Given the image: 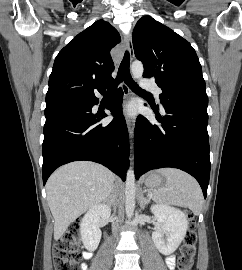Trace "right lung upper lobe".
<instances>
[{"mask_svg": "<svg viewBox=\"0 0 242 270\" xmlns=\"http://www.w3.org/2000/svg\"><path fill=\"white\" fill-rule=\"evenodd\" d=\"M120 41L117 30L104 20L79 33L55 58L46 107L103 93L113 80L110 50Z\"/></svg>", "mask_w": 242, "mask_h": 270, "instance_id": "cb5924a9", "label": "right lung upper lobe"}]
</instances>
